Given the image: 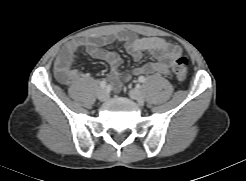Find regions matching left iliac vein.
<instances>
[{"mask_svg": "<svg viewBox=\"0 0 246 181\" xmlns=\"http://www.w3.org/2000/svg\"><path fill=\"white\" fill-rule=\"evenodd\" d=\"M129 96L131 99L137 101L138 103H143L145 101L143 92L136 88H133L129 91Z\"/></svg>", "mask_w": 246, "mask_h": 181, "instance_id": "obj_1", "label": "left iliac vein"}]
</instances>
